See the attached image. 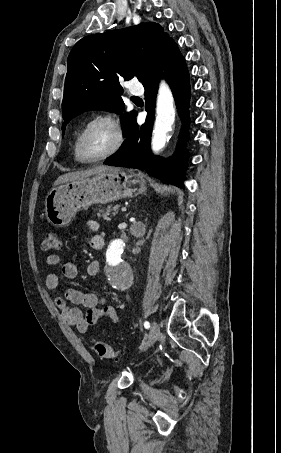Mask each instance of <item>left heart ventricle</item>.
I'll use <instances>...</instances> for the list:
<instances>
[{
	"mask_svg": "<svg viewBox=\"0 0 281 453\" xmlns=\"http://www.w3.org/2000/svg\"><path fill=\"white\" fill-rule=\"evenodd\" d=\"M114 142L113 131L105 125L91 128L81 143V156L88 158L99 154Z\"/></svg>",
	"mask_w": 281,
	"mask_h": 453,
	"instance_id": "b2bd125f",
	"label": "left heart ventricle"
}]
</instances>
